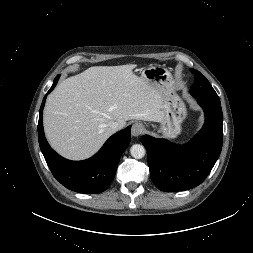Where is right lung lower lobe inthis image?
<instances>
[{"instance_id": "obj_1", "label": "right lung lower lobe", "mask_w": 253, "mask_h": 253, "mask_svg": "<svg viewBox=\"0 0 253 253\" xmlns=\"http://www.w3.org/2000/svg\"><path fill=\"white\" fill-rule=\"evenodd\" d=\"M59 77L55 78L48 93L54 89ZM45 100L46 96L40 107L38 139L52 174L63 186L78 193L96 194L105 191L115 176L122 153L130 143L131 126L111 136L93 157L84 161L67 160L58 155L45 138L42 120Z\"/></svg>"}]
</instances>
